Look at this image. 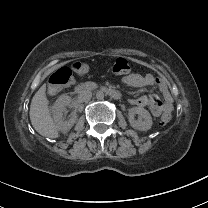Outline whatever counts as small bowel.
Instances as JSON below:
<instances>
[{"label":"small bowel","instance_id":"1","mask_svg":"<svg viewBox=\"0 0 208 208\" xmlns=\"http://www.w3.org/2000/svg\"><path fill=\"white\" fill-rule=\"evenodd\" d=\"M122 81L130 87H149L152 85L158 87L161 92L160 100L141 96L131 101L133 104L149 107L154 116H159L163 112L169 113L173 109L172 97L167 82L164 79L156 78L150 74L140 75L137 73H131L124 76Z\"/></svg>","mask_w":208,"mask_h":208}]
</instances>
